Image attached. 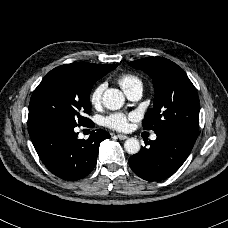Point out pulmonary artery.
<instances>
[{
    "mask_svg": "<svg viewBox=\"0 0 228 228\" xmlns=\"http://www.w3.org/2000/svg\"><path fill=\"white\" fill-rule=\"evenodd\" d=\"M142 93H143L142 85H138L135 88H133L132 90L125 92L126 96L132 101L139 100L142 96ZM150 138H151V140H156L157 136H156V134L153 133Z\"/></svg>",
    "mask_w": 228,
    "mask_h": 228,
    "instance_id": "e3ab8cb5",
    "label": "pulmonary artery"
}]
</instances>
